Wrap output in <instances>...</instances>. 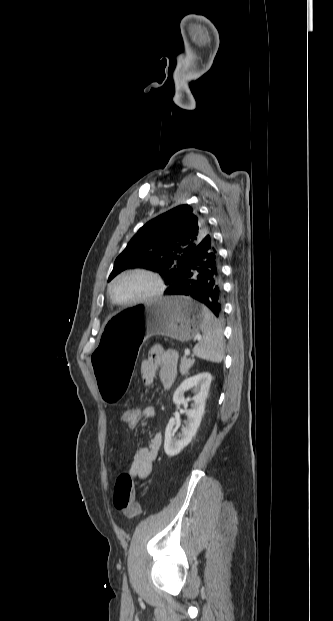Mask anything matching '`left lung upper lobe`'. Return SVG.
Segmentation results:
<instances>
[{"instance_id": "obj_1", "label": "left lung upper lobe", "mask_w": 333, "mask_h": 621, "mask_svg": "<svg viewBox=\"0 0 333 621\" xmlns=\"http://www.w3.org/2000/svg\"><path fill=\"white\" fill-rule=\"evenodd\" d=\"M209 234L207 221L191 206L179 205L147 222L117 257L108 281L127 268H145L164 278L168 288Z\"/></svg>"}]
</instances>
